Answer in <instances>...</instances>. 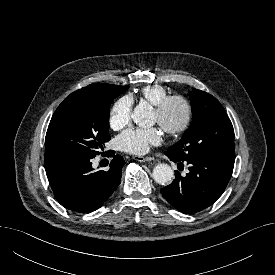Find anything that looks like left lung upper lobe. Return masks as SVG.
I'll use <instances>...</instances> for the list:
<instances>
[{"instance_id": "5c2ea615", "label": "left lung upper lobe", "mask_w": 275, "mask_h": 275, "mask_svg": "<svg viewBox=\"0 0 275 275\" xmlns=\"http://www.w3.org/2000/svg\"><path fill=\"white\" fill-rule=\"evenodd\" d=\"M192 106V123L182 139L167 152L178 160L198 155L235 160L234 130L220 102L204 91L189 92Z\"/></svg>"}]
</instances>
